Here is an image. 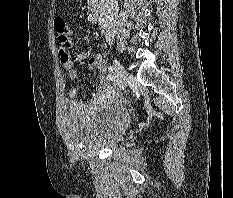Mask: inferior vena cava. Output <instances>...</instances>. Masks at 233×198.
<instances>
[{
  "instance_id": "inferior-vena-cava-1",
  "label": "inferior vena cava",
  "mask_w": 233,
  "mask_h": 198,
  "mask_svg": "<svg viewBox=\"0 0 233 198\" xmlns=\"http://www.w3.org/2000/svg\"><path fill=\"white\" fill-rule=\"evenodd\" d=\"M101 9V28L106 41L109 45L113 44L115 36V25L118 18V2L117 0H100Z\"/></svg>"
}]
</instances>
